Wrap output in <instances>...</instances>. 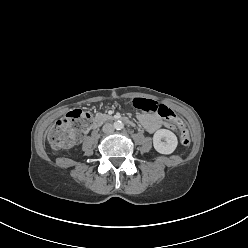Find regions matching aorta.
I'll return each mask as SVG.
<instances>
[{
	"label": "aorta",
	"mask_w": 248,
	"mask_h": 248,
	"mask_svg": "<svg viewBox=\"0 0 248 248\" xmlns=\"http://www.w3.org/2000/svg\"><path fill=\"white\" fill-rule=\"evenodd\" d=\"M114 128L117 130H121L124 128V124L122 121H116L114 122Z\"/></svg>",
	"instance_id": "1"
}]
</instances>
